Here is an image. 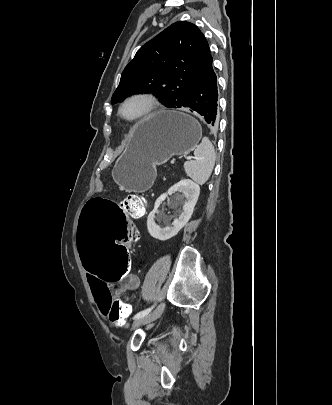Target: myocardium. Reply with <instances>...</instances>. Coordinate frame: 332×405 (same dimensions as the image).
Returning a JSON list of instances; mask_svg holds the SVG:
<instances>
[{"instance_id":"myocardium-1","label":"myocardium","mask_w":332,"mask_h":405,"mask_svg":"<svg viewBox=\"0 0 332 405\" xmlns=\"http://www.w3.org/2000/svg\"><path fill=\"white\" fill-rule=\"evenodd\" d=\"M135 100L144 102V104H145L144 110L140 114H138L137 116H134V117L124 116V114H123L124 107L129 102L135 101ZM158 105H159L158 99L156 98V96L154 94H152L151 92L139 91V92H135V93L128 95L127 97H125L122 100V102L120 103L119 108H118V114H119L120 118L126 122L138 123V122L144 121V120L148 119L149 117H151L153 115V113L156 111V109L158 108Z\"/></svg>"}]
</instances>
